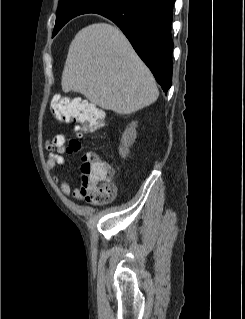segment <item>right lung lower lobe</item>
<instances>
[{"label": "right lung lower lobe", "instance_id": "right-lung-lower-lobe-1", "mask_svg": "<svg viewBox=\"0 0 245 319\" xmlns=\"http://www.w3.org/2000/svg\"><path fill=\"white\" fill-rule=\"evenodd\" d=\"M175 0H124L98 14L112 20L150 68L164 92L172 84L171 38Z\"/></svg>", "mask_w": 245, "mask_h": 319}]
</instances>
